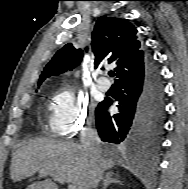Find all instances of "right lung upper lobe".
<instances>
[{"label": "right lung upper lobe", "instance_id": "cb5924a9", "mask_svg": "<svg viewBox=\"0 0 188 189\" xmlns=\"http://www.w3.org/2000/svg\"><path fill=\"white\" fill-rule=\"evenodd\" d=\"M92 51L95 67L103 61L116 64L117 80L131 77L141 72L148 54L138 40L136 28L120 18L102 16L98 18L92 33ZM81 49L67 44L57 51L40 75L38 86L50 76L73 70L82 60Z\"/></svg>", "mask_w": 188, "mask_h": 189}]
</instances>
